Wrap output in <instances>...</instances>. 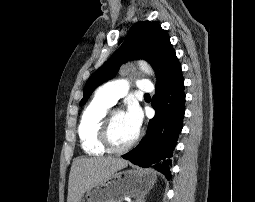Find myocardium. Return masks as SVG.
<instances>
[{
  "label": "myocardium",
  "mask_w": 255,
  "mask_h": 202,
  "mask_svg": "<svg viewBox=\"0 0 255 202\" xmlns=\"http://www.w3.org/2000/svg\"><path fill=\"white\" fill-rule=\"evenodd\" d=\"M115 112H121L118 110L108 111L102 119L100 129H99V141L101 145L111 153H123L128 151L130 148L134 146V144L139 139V133L135 135V137L129 141L127 144L123 146H116L111 138V127L113 115Z\"/></svg>",
  "instance_id": "myocardium-1"
}]
</instances>
